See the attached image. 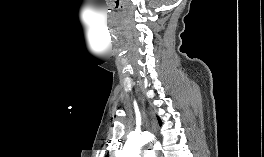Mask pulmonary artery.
Returning a JSON list of instances; mask_svg holds the SVG:
<instances>
[{
	"instance_id": "1",
	"label": "pulmonary artery",
	"mask_w": 264,
	"mask_h": 157,
	"mask_svg": "<svg viewBox=\"0 0 264 157\" xmlns=\"http://www.w3.org/2000/svg\"><path fill=\"white\" fill-rule=\"evenodd\" d=\"M143 157H155L152 151H145Z\"/></svg>"
}]
</instances>
